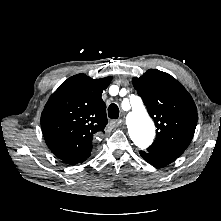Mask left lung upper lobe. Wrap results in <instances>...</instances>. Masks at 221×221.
Wrapping results in <instances>:
<instances>
[{
	"label": "left lung upper lobe",
	"mask_w": 221,
	"mask_h": 221,
	"mask_svg": "<svg viewBox=\"0 0 221 221\" xmlns=\"http://www.w3.org/2000/svg\"><path fill=\"white\" fill-rule=\"evenodd\" d=\"M132 83L157 127L147 152L178 158L190 144L197 124L192 97L175 78L156 69L133 78Z\"/></svg>",
	"instance_id": "left-lung-upper-lobe-1"
}]
</instances>
